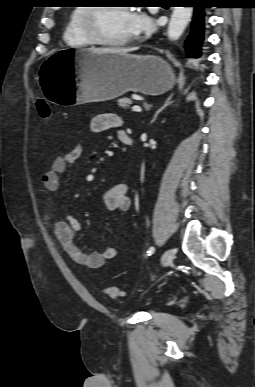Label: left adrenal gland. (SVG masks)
I'll use <instances>...</instances> for the list:
<instances>
[{
  "label": "left adrenal gland",
  "mask_w": 255,
  "mask_h": 387,
  "mask_svg": "<svg viewBox=\"0 0 255 387\" xmlns=\"http://www.w3.org/2000/svg\"><path fill=\"white\" fill-rule=\"evenodd\" d=\"M172 97H173V94L170 95L164 102V104L156 111V113L154 114L153 118L151 119L150 123L149 124H152L156 121L157 119V116L159 115V113L161 111H163L166 107H168L169 105H171L173 103L172 101Z\"/></svg>",
  "instance_id": "left-adrenal-gland-1"
}]
</instances>
